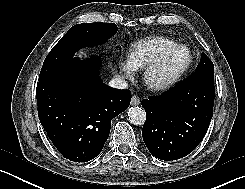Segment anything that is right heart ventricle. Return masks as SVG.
I'll return each instance as SVG.
<instances>
[{"mask_svg":"<svg viewBox=\"0 0 245 189\" xmlns=\"http://www.w3.org/2000/svg\"><path fill=\"white\" fill-rule=\"evenodd\" d=\"M176 44L166 36H150L139 39L127 48V59L134 69H139L151 62L163 49Z\"/></svg>","mask_w":245,"mask_h":189,"instance_id":"right-heart-ventricle-1","label":"right heart ventricle"}]
</instances>
